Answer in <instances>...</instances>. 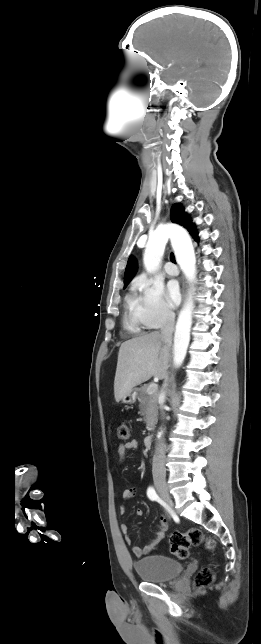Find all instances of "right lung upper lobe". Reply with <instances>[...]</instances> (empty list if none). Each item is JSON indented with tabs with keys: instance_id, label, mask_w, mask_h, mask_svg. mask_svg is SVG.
I'll return each instance as SVG.
<instances>
[{
	"instance_id": "obj_1",
	"label": "right lung upper lobe",
	"mask_w": 261,
	"mask_h": 644,
	"mask_svg": "<svg viewBox=\"0 0 261 644\" xmlns=\"http://www.w3.org/2000/svg\"><path fill=\"white\" fill-rule=\"evenodd\" d=\"M171 221L177 224H180L181 226L185 227L190 234H194V238L197 241L198 240V235L197 231L195 230V226L192 223L191 218L189 215L184 211V208L180 204H174L171 208ZM137 271V263L136 260L130 256L127 262L126 270H125V275H124V286H127L130 280L133 278L134 274Z\"/></svg>"
}]
</instances>
